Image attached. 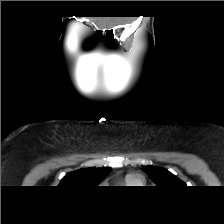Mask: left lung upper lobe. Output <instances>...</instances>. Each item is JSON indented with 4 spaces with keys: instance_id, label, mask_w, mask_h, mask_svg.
Instances as JSON below:
<instances>
[{
    "instance_id": "1",
    "label": "left lung upper lobe",
    "mask_w": 224,
    "mask_h": 224,
    "mask_svg": "<svg viewBox=\"0 0 224 224\" xmlns=\"http://www.w3.org/2000/svg\"><path fill=\"white\" fill-rule=\"evenodd\" d=\"M143 168L160 188H179L186 186L184 182L166 169L155 166H143Z\"/></svg>"
}]
</instances>
